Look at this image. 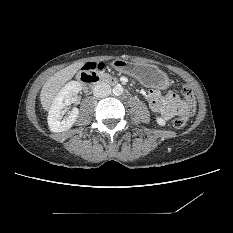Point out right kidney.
I'll list each match as a JSON object with an SVG mask.
<instances>
[{
    "instance_id": "obj_1",
    "label": "right kidney",
    "mask_w": 233,
    "mask_h": 233,
    "mask_svg": "<svg viewBox=\"0 0 233 233\" xmlns=\"http://www.w3.org/2000/svg\"><path fill=\"white\" fill-rule=\"evenodd\" d=\"M82 89L81 84L76 81L67 83L55 97L48 113V126L52 132H63L70 129L75 123L79 110L74 107L69 116L62 119V109L71 104L72 96Z\"/></svg>"
}]
</instances>
